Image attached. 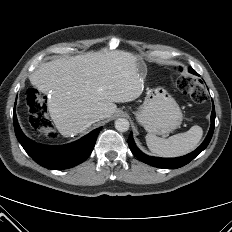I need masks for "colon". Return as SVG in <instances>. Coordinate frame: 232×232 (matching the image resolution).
Here are the masks:
<instances>
[{"label": "colon", "instance_id": "1", "mask_svg": "<svg viewBox=\"0 0 232 232\" xmlns=\"http://www.w3.org/2000/svg\"><path fill=\"white\" fill-rule=\"evenodd\" d=\"M177 75V88L188 95L194 102L203 103L206 101V92L203 84L185 73L182 66L175 68ZM26 104L30 113L29 123L36 134H43L50 138L55 137V132L49 124L47 117V104L44 96L35 88L26 91Z\"/></svg>", "mask_w": 232, "mask_h": 232}]
</instances>
